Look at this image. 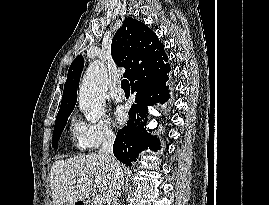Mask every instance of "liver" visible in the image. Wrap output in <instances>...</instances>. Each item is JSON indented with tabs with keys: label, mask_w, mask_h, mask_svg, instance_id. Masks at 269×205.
<instances>
[{
	"label": "liver",
	"mask_w": 269,
	"mask_h": 205,
	"mask_svg": "<svg viewBox=\"0 0 269 205\" xmlns=\"http://www.w3.org/2000/svg\"><path fill=\"white\" fill-rule=\"evenodd\" d=\"M82 178L89 180L71 184ZM111 179L108 164L96 153L56 160L50 176L53 205H74L88 197L91 190L105 194Z\"/></svg>",
	"instance_id": "liver-1"
}]
</instances>
